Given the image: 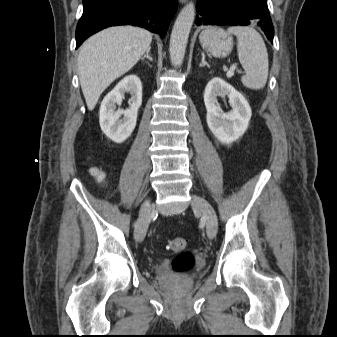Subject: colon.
Returning a JSON list of instances; mask_svg holds the SVG:
<instances>
[{
  "mask_svg": "<svg viewBox=\"0 0 337 337\" xmlns=\"http://www.w3.org/2000/svg\"><path fill=\"white\" fill-rule=\"evenodd\" d=\"M94 175L97 179H101L99 171L95 170ZM186 246V241L183 238H174L169 242V247L173 252L179 253L173 260V269L176 272L182 273L191 269L193 266V257L190 253L183 252Z\"/></svg>",
  "mask_w": 337,
  "mask_h": 337,
  "instance_id": "5ec220e1",
  "label": "colon"
}]
</instances>
